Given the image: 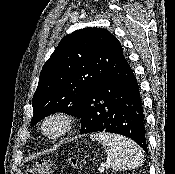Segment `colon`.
Returning a JSON list of instances; mask_svg holds the SVG:
<instances>
[{"label":"colon","mask_w":175,"mask_h":174,"mask_svg":"<svg viewBox=\"0 0 175 174\" xmlns=\"http://www.w3.org/2000/svg\"><path fill=\"white\" fill-rule=\"evenodd\" d=\"M71 165L73 167L78 166V162L75 158H71ZM51 164L48 161L38 162L35 166L27 169L26 174H51Z\"/></svg>","instance_id":"5ec220e1"}]
</instances>
